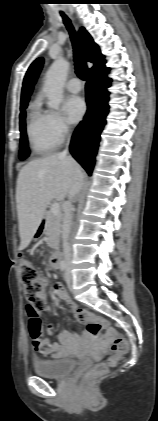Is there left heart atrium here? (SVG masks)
I'll use <instances>...</instances> for the list:
<instances>
[{
  "mask_svg": "<svg viewBox=\"0 0 158 421\" xmlns=\"http://www.w3.org/2000/svg\"><path fill=\"white\" fill-rule=\"evenodd\" d=\"M63 108L68 120L77 123L86 112V104L79 96H69L65 99Z\"/></svg>",
  "mask_w": 158,
  "mask_h": 421,
  "instance_id": "39dd6f15",
  "label": "left heart atrium"
}]
</instances>
